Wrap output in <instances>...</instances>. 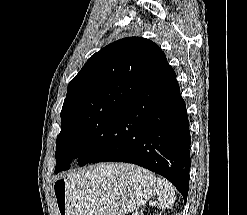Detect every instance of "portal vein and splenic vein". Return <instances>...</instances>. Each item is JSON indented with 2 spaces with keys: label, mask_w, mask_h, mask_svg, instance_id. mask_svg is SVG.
I'll return each mask as SVG.
<instances>
[{
  "label": "portal vein and splenic vein",
  "mask_w": 247,
  "mask_h": 215,
  "mask_svg": "<svg viewBox=\"0 0 247 215\" xmlns=\"http://www.w3.org/2000/svg\"><path fill=\"white\" fill-rule=\"evenodd\" d=\"M149 204H150V205H154L155 203L150 202ZM135 215H138V214L136 213Z\"/></svg>",
  "instance_id": "1"
}]
</instances>
